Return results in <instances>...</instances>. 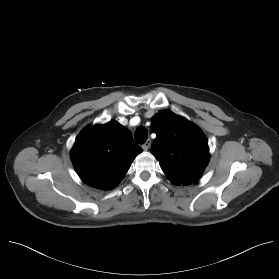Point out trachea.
Segmentation results:
<instances>
[{
	"instance_id": "3493384b",
	"label": "trachea",
	"mask_w": 279,
	"mask_h": 279,
	"mask_svg": "<svg viewBox=\"0 0 279 279\" xmlns=\"http://www.w3.org/2000/svg\"><path fill=\"white\" fill-rule=\"evenodd\" d=\"M147 136H148V132L144 126H139L134 132L135 140L139 144L145 143L147 140Z\"/></svg>"
}]
</instances>
